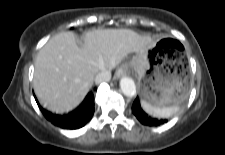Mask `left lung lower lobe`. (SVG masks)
Returning <instances> with one entry per match:
<instances>
[{
  "label": "left lung lower lobe",
  "mask_w": 225,
  "mask_h": 155,
  "mask_svg": "<svg viewBox=\"0 0 225 155\" xmlns=\"http://www.w3.org/2000/svg\"><path fill=\"white\" fill-rule=\"evenodd\" d=\"M133 114L136 118L143 124L147 126H159L166 122L167 120H159L156 118H151L148 116L141 108L139 98L137 97L132 105Z\"/></svg>",
  "instance_id": "1"
}]
</instances>
